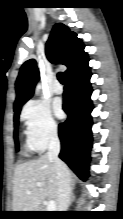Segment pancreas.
<instances>
[{"label": "pancreas", "instance_id": "pancreas-1", "mask_svg": "<svg viewBox=\"0 0 123 219\" xmlns=\"http://www.w3.org/2000/svg\"><path fill=\"white\" fill-rule=\"evenodd\" d=\"M40 208H41V211H46L44 206H41Z\"/></svg>", "mask_w": 123, "mask_h": 219}]
</instances>
